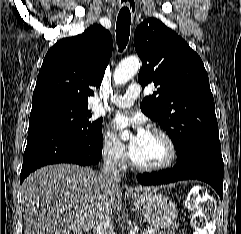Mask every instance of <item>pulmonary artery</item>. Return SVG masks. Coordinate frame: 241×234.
Segmentation results:
<instances>
[{"label": "pulmonary artery", "instance_id": "obj_1", "mask_svg": "<svg viewBox=\"0 0 241 234\" xmlns=\"http://www.w3.org/2000/svg\"><path fill=\"white\" fill-rule=\"evenodd\" d=\"M141 87L139 84H131L125 94H116L108 98V101L120 108H129L133 105L134 101L139 97Z\"/></svg>", "mask_w": 241, "mask_h": 234}]
</instances>
